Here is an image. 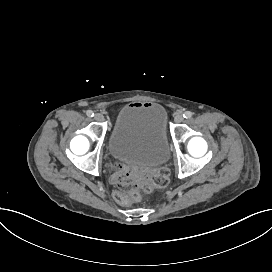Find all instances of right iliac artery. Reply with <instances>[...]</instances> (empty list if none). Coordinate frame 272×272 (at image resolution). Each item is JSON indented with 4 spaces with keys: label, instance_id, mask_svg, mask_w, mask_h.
Listing matches in <instances>:
<instances>
[{
    "label": "right iliac artery",
    "instance_id": "obj_1",
    "mask_svg": "<svg viewBox=\"0 0 272 272\" xmlns=\"http://www.w3.org/2000/svg\"><path fill=\"white\" fill-rule=\"evenodd\" d=\"M86 115L89 116V117H93V116H94V113H93V111L88 110V111L86 112Z\"/></svg>",
    "mask_w": 272,
    "mask_h": 272
}]
</instances>
